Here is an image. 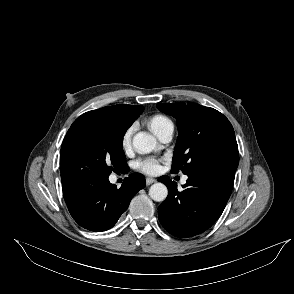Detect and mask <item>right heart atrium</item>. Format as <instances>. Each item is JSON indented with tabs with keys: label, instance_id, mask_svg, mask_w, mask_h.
I'll return each instance as SVG.
<instances>
[{
	"label": "right heart atrium",
	"instance_id": "1",
	"mask_svg": "<svg viewBox=\"0 0 294 294\" xmlns=\"http://www.w3.org/2000/svg\"><path fill=\"white\" fill-rule=\"evenodd\" d=\"M134 131V126L129 127L122 136V147L127 149L131 144V138Z\"/></svg>",
	"mask_w": 294,
	"mask_h": 294
}]
</instances>
